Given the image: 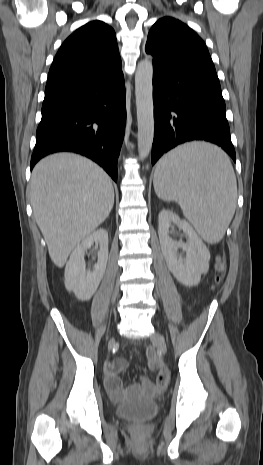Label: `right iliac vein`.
I'll return each mask as SVG.
<instances>
[{
  "label": "right iliac vein",
  "instance_id": "63e3f726",
  "mask_svg": "<svg viewBox=\"0 0 263 465\" xmlns=\"http://www.w3.org/2000/svg\"><path fill=\"white\" fill-rule=\"evenodd\" d=\"M114 342H115L114 338L110 339V341H109V347H111V346L114 344Z\"/></svg>",
  "mask_w": 263,
  "mask_h": 465
}]
</instances>
